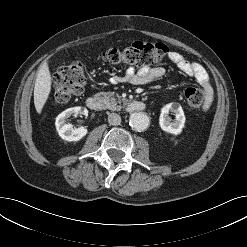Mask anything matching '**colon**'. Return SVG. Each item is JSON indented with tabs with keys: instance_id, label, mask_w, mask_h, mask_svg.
Listing matches in <instances>:
<instances>
[{
	"instance_id": "5ec220e1",
	"label": "colon",
	"mask_w": 247,
	"mask_h": 247,
	"mask_svg": "<svg viewBox=\"0 0 247 247\" xmlns=\"http://www.w3.org/2000/svg\"><path fill=\"white\" fill-rule=\"evenodd\" d=\"M168 53L163 43L134 42L123 49H110L101 53L102 61L113 64L149 66L161 62ZM86 84V72L82 63L71 62L58 68L54 75L53 95L56 103H64L80 95ZM185 99L189 109L200 108L204 95L200 88L189 87L185 90Z\"/></svg>"
}]
</instances>
